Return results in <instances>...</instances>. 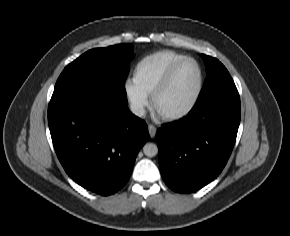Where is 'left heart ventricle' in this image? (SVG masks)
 I'll return each mask as SVG.
<instances>
[{"instance_id": "left-heart-ventricle-1", "label": "left heart ventricle", "mask_w": 290, "mask_h": 236, "mask_svg": "<svg viewBox=\"0 0 290 236\" xmlns=\"http://www.w3.org/2000/svg\"><path fill=\"white\" fill-rule=\"evenodd\" d=\"M197 70L193 63L181 65L168 87L158 96L156 107L161 112H174L184 108L192 99L197 86Z\"/></svg>"}]
</instances>
